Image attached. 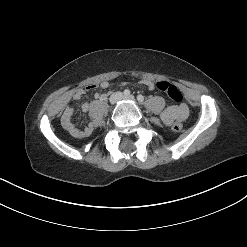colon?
Returning <instances> with one entry per match:
<instances>
[{"label": "colon", "instance_id": "obj_1", "mask_svg": "<svg viewBox=\"0 0 247 247\" xmlns=\"http://www.w3.org/2000/svg\"><path fill=\"white\" fill-rule=\"evenodd\" d=\"M156 87L160 91L164 92L174 102H177V103L182 102L183 100L182 93L176 86L166 81H160L156 84ZM172 129L175 132H180L182 130V124L180 122H175L172 125Z\"/></svg>", "mask_w": 247, "mask_h": 247}]
</instances>
